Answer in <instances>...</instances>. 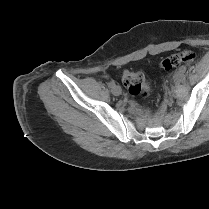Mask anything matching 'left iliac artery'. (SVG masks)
<instances>
[{
    "label": "left iliac artery",
    "instance_id": "44dca946",
    "mask_svg": "<svg viewBox=\"0 0 209 209\" xmlns=\"http://www.w3.org/2000/svg\"><path fill=\"white\" fill-rule=\"evenodd\" d=\"M185 71H186V67L185 66L179 67V72L180 73H183Z\"/></svg>",
    "mask_w": 209,
    "mask_h": 209
}]
</instances>
